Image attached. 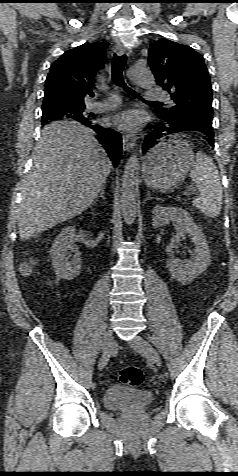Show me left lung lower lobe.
Segmentation results:
<instances>
[{"mask_svg":"<svg viewBox=\"0 0 238 476\" xmlns=\"http://www.w3.org/2000/svg\"><path fill=\"white\" fill-rule=\"evenodd\" d=\"M197 131L204 134V139L214 148V132L212 118L200 115H172L160 116L154 129L148 134L143 143V152L153 148L159 139L173 133Z\"/></svg>","mask_w":238,"mask_h":476,"instance_id":"obj_1","label":"left lung lower lobe"}]
</instances>
